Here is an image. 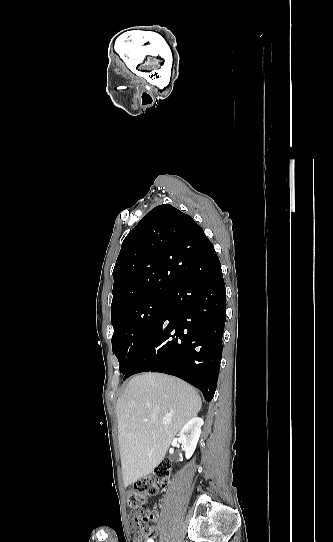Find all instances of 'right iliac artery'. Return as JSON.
<instances>
[{
  "label": "right iliac artery",
  "instance_id": "right-iliac-artery-1",
  "mask_svg": "<svg viewBox=\"0 0 333 542\" xmlns=\"http://www.w3.org/2000/svg\"><path fill=\"white\" fill-rule=\"evenodd\" d=\"M148 542H153V540L151 539V540H149Z\"/></svg>",
  "mask_w": 333,
  "mask_h": 542
}]
</instances>
